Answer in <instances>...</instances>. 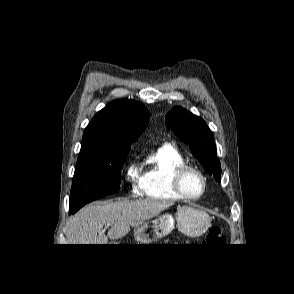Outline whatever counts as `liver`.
<instances>
[{"instance_id":"6515ba94","label":"liver","mask_w":294,"mask_h":294,"mask_svg":"<svg viewBox=\"0 0 294 294\" xmlns=\"http://www.w3.org/2000/svg\"><path fill=\"white\" fill-rule=\"evenodd\" d=\"M170 201L153 199L119 200L95 203L82 208L66 225L68 244H107L108 239H119L128 234L130 227H137L158 216L172 206ZM106 223L111 228L105 235Z\"/></svg>"}]
</instances>
